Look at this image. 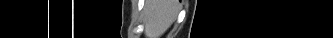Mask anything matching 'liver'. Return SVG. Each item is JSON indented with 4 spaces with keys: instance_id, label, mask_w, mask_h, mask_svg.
Segmentation results:
<instances>
[{
    "instance_id": "liver-1",
    "label": "liver",
    "mask_w": 333,
    "mask_h": 38,
    "mask_svg": "<svg viewBox=\"0 0 333 38\" xmlns=\"http://www.w3.org/2000/svg\"><path fill=\"white\" fill-rule=\"evenodd\" d=\"M145 19L146 38H160L172 24L177 5L174 0H149Z\"/></svg>"
}]
</instances>
